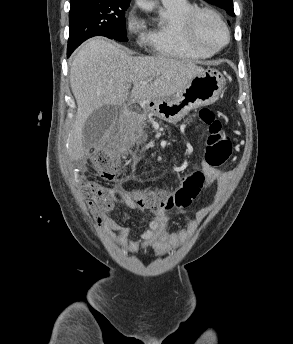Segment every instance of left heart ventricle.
<instances>
[{"label": "left heart ventricle", "instance_id": "b2bd125f", "mask_svg": "<svg viewBox=\"0 0 293 344\" xmlns=\"http://www.w3.org/2000/svg\"><path fill=\"white\" fill-rule=\"evenodd\" d=\"M200 41L209 48H216L225 41V32L221 25L211 16L203 15L197 24Z\"/></svg>", "mask_w": 293, "mask_h": 344}]
</instances>
